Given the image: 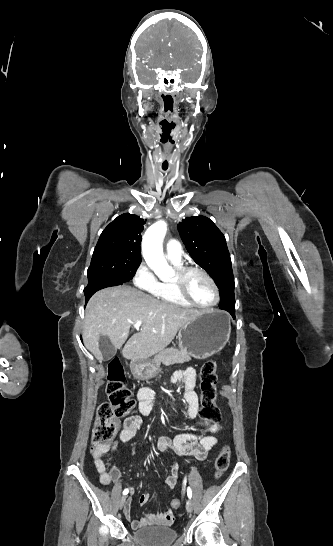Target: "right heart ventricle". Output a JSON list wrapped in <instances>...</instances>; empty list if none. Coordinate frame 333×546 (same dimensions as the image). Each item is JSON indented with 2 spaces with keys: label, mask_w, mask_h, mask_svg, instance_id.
Returning a JSON list of instances; mask_svg holds the SVG:
<instances>
[{
  "label": "right heart ventricle",
  "mask_w": 333,
  "mask_h": 546,
  "mask_svg": "<svg viewBox=\"0 0 333 546\" xmlns=\"http://www.w3.org/2000/svg\"><path fill=\"white\" fill-rule=\"evenodd\" d=\"M174 266L178 269L181 267V262H173ZM161 302L177 305L180 307H191L190 304L185 302L179 297L176 292L173 281H163L160 283V291L157 295Z\"/></svg>",
  "instance_id": "1"
}]
</instances>
